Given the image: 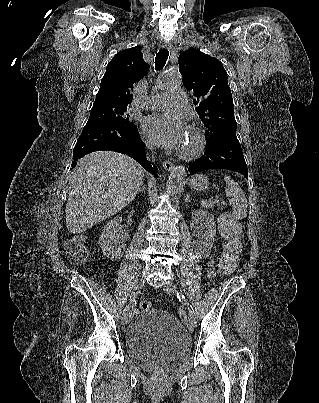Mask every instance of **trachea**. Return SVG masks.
I'll use <instances>...</instances> for the list:
<instances>
[{"label":"trachea","instance_id":"1","mask_svg":"<svg viewBox=\"0 0 319 403\" xmlns=\"http://www.w3.org/2000/svg\"><path fill=\"white\" fill-rule=\"evenodd\" d=\"M169 56V51L167 49H161L155 57V69L156 70H161L168 59Z\"/></svg>","mask_w":319,"mask_h":403}]
</instances>
